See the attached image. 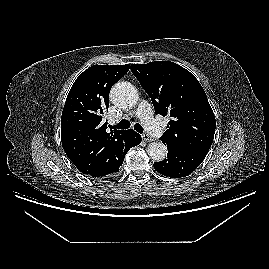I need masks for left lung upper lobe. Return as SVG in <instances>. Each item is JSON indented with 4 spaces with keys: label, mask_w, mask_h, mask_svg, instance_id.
<instances>
[{
    "label": "left lung upper lobe",
    "mask_w": 269,
    "mask_h": 269,
    "mask_svg": "<svg viewBox=\"0 0 269 269\" xmlns=\"http://www.w3.org/2000/svg\"><path fill=\"white\" fill-rule=\"evenodd\" d=\"M131 71L150 96L155 112L171 117L168 129L160 137L167 148L208 152L216 121L194 75L169 61L132 64Z\"/></svg>",
    "instance_id": "1"
}]
</instances>
